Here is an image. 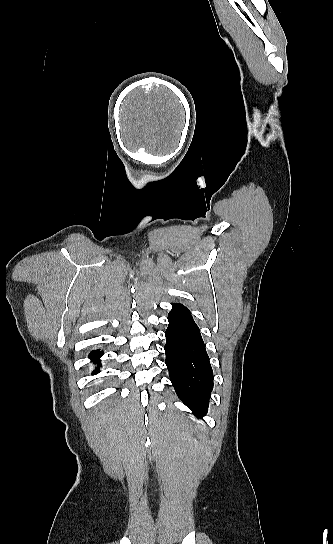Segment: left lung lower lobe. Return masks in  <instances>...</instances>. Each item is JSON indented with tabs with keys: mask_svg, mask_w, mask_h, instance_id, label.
Here are the masks:
<instances>
[{
	"mask_svg": "<svg viewBox=\"0 0 333 544\" xmlns=\"http://www.w3.org/2000/svg\"><path fill=\"white\" fill-rule=\"evenodd\" d=\"M165 332V363L178 397L197 417L207 413L213 371L200 330L187 307L172 304Z\"/></svg>",
	"mask_w": 333,
	"mask_h": 544,
	"instance_id": "0a47b994",
	"label": "left lung lower lobe"
}]
</instances>
